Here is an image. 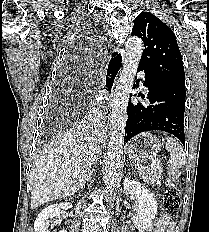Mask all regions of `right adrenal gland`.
Listing matches in <instances>:
<instances>
[{"mask_svg": "<svg viewBox=\"0 0 209 232\" xmlns=\"http://www.w3.org/2000/svg\"><path fill=\"white\" fill-rule=\"evenodd\" d=\"M92 174H93V170L90 171V172L88 173V175H87L85 181L83 182L82 187L85 185L86 182H90V180H91V175H92ZM82 187H81V188H82ZM81 188H80V189H81Z\"/></svg>", "mask_w": 209, "mask_h": 232, "instance_id": "right-adrenal-gland-1", "label": "right adrenal gland"}]
</instances>
